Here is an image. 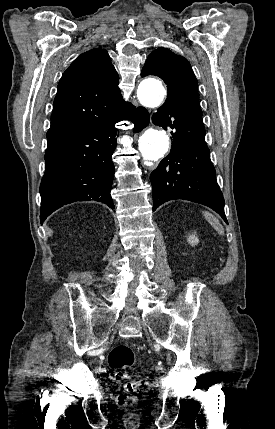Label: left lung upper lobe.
<instances>
[{
    "label": "left lung upper lobe",
    "mask_w": 275,
    "mask_h": 429,
    "mask_svg": "<svg viewBox=\"0 0 275 429\" xmlns=\"http://www.w3.org/2000/svg\"><path fill=\"white\" fill-rule=\"evenodd\" d=\"M147 75L159 76L167 84L165 104L190 110L202 117L198 82L187 59L160 47L145 62L141 76Z\"/></svg>",
    "instance_id": "1"
}]
</instances>
